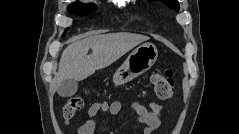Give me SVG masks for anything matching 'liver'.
<instances>
[{
	"label": "liver",
	"mask_w": 239,
	"mask_h": 134,
	"mask_svg": "<svg viewBox=\"0 0 239 134\" xmlns=\"http://www.w3.org/2000/svg\"><path fill=\"white\" fill-rule=\"evenodd\" d=\"M149 37L127 32L94 35L70 44L62 53L57 82L81 81L108 67ZM92 54L87 55L89 49Z\"/></svg>",
	"instance_id": "liver-1"
}]
</instances>
